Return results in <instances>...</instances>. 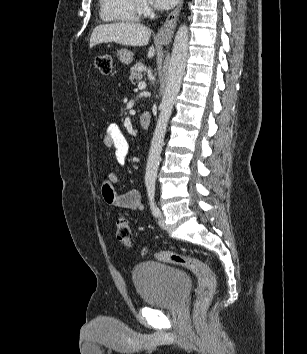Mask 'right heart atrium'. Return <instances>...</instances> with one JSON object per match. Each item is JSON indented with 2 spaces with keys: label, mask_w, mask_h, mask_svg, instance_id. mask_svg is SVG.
<instances>
[{
  "label": "right heart atrium",
  "mask_w": 307,
  "mask_h": 354,
  "mask_svg": "<svg viewBox=\"0 0 307 354\" xmlns=\"http://www.w3.org/2000/svg\"><path fill=\"white\" fill-rule=\"evenodd\" d=\"M140 12L147 14L150 10V3L148 0H137Z\"/></svg>",
  "instance_id": "1"
}]
</instances>
